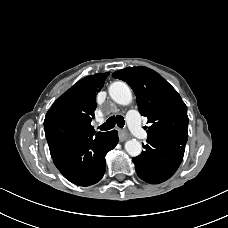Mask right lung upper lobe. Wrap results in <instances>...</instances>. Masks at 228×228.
Segmentation results:
<instances>
[{"mask_svg": "<svg viewBox=\"0 0 228 228\" xmlns=\"http://www.w3.org/2000/svg\"><path fill=\"white\" fill-rule=\"evenodd\" d=\"M108 75L106 72L87 76L61 95L45 116V131L51 126L69 122L74 125L77 134L95 133L91 121L96 108V94L104 86Z\"/></svg>", "mask_w": 228, "mask_h": 228, "instance_id": "1", "label": "right lung upper lobe"}]
</instances>
